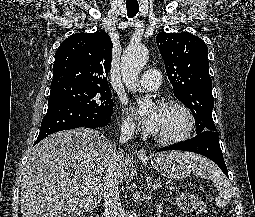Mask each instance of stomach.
<instances>
[{
    "label": "stomach",
    "instance_id": "0dacf381",
    "mask_svg": "<svg viewBox=\"0 0 255 217\" xmlns=\"http://www.w3.org/2000/svg\"><path fill=\"white\" fill-rule=\"evenodd\" d=\"M150 162L155 170L171 179L186 178L192 171L190 160L181 152L159 154Z\"/></svg>",
    "mask_w": 255,
    "mask_h": 217
}]
</instances>
